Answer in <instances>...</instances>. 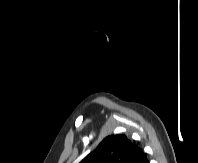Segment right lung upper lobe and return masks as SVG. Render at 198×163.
I'll list each match as a JSON object with an SVG mask.
<instances>
[{
  "label": "right lung upper lobe",
  "mask_w": 198,
  "mask_h": 163,
  "mask_svg": "<svg viewBox=\"0 0 198 163\" xmlns=\"http://www.w3.org/2000/svg\"><path fill=\"white\" fill-rule=\"evenodd\" d=\"M80 163H149L126 135H110Z\"/></svg>",
  "instance_id": "cb5924a9"
}]
</instances>
